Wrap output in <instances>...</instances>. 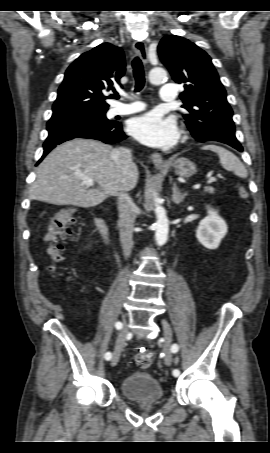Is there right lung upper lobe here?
<instances>
[{"mask_svg":"<svg viewBox=\"0 0 270 453\" xmlns=\"http://www.w3.org/2000/svg\"><path fill=\"white\" fill-rule=\"evenodd\" d=\"M125 72L121 48L102 43L83 53L66 70L58 89L51 118L68 117L91 110H108L105 91L115 90Z\"/></svg>","mask_w":270,"mask_h":453,"instance_id":"cb5924a9","label":"right lung upper lobe"}]
</instances>
